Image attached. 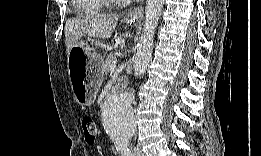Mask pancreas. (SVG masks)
Here are the masks:
<instances>
[{
    "mask_svg": "<svg viewBox=\"0 0 261 156\" xmlns=\"http://www.w3.org/2000/svg\"><path fill=\"white\" fill-rule=\"evenodd\" d=\"M117 64V56L115 53H111L105 62L102 64L101 72L102 75H106L110 72V67L111 65H116Z\"/></svg>",
    "mask_w": 261,
    "mask_h": 156,
    "instance_id": "obj_1",
    "label": "pancreas"
}]
</instances>
